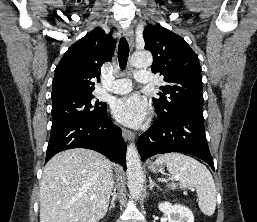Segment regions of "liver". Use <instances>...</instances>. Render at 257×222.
<instances>
[{"instance_id": "obj_1", "label": "liver", "mask_w": 257, "mask_h": 222, "mask_svg": "<svg viewBox=\"0 0 257 222\" xmlns=\"http://www.w3.org/2000/svg\"><path fill=\"white\" fill-rule=\"evenodd\" d=\"M112 189V163L105 156L82 148L60 152L43 170L40 222H98Z\"/></svg>"}]
</instances>
